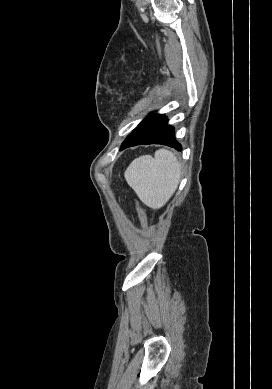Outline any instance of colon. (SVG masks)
Segmentation results:
<instances>
[{
  "label": "colon",
  "instance_id": "obj_1",
  "mask_svg": "<svg viewBox=\"0 0 272 389\" xmlns=\"http://www.w3.org/2000/svg\"><path fill=\"white\" fill-rule=\"evenodd\" d=\"M139 212H140V215H141V217H142V219H143V221H144V223L146 224L147 223V217H146V214L144 213V211L143 210H139Z\"/></svg>",
  "mask_w": 272,
  "mask_h": 389
}]
</instances>
